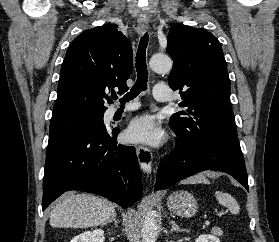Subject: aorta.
<instances>
[{
	"instance_id": "aorta-1",
	"label": "aorta",
	"mask_w": 279,
	"mask_h": 242,
	"mask_svg": "<svg viewBox=\"0 0 279 242\" xmlns=\"http://www.w3.org/2000/svg\"><path fill=\"white\" fill-rule=\"evenodd\" d=\"M151 69L159 74L168 73L172 69V61L165 54H155L150 59ZM157 212L153 209L146 211L142 223V242H155L157 236Z\"/></svg>"
}]
</instances>
